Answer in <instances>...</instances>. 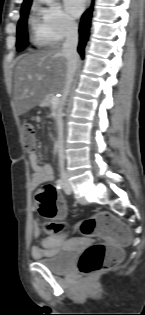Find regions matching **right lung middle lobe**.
I'll return each mask as SVG.
<instances>
[{
  "label": "right lung middle lobe",
  "mask_w": 145,
  "mask_h": 315,
  "mask_svg": "<svg viewBox=\"0 0 145 315\" xmlns=\"http://www.w3.org/2000/svg\"><path fill=\"white\" fill-rule=\"evenodd\" d=\"M31 5L22 7L21 18L17 26V42L16 47L18 51H22L28 45L27 34V16Z\"/></svg>",
  "instance_id": "dd1d6c3e"
}]
</instances>
